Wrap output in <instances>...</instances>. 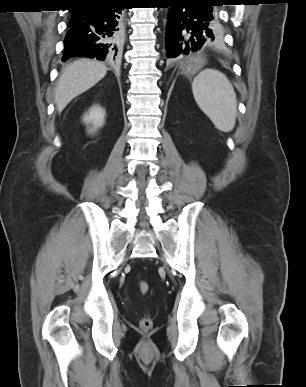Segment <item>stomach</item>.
Masks as SVG:
<instances>
[{
	"mask_svg": "<svg viewBox=\"0 0 306 387\" xmlns=\"http://www.w3.org/2000/svg\"><path fill=\"white\" fill-rule=\"evenodd\" d=\"M199 64H200V62L195 61L193 64L187 65L186 67L183 68V73L186 76L190 77L196 71Z\"/></svg>",
	"mask_w": 306,
	"mask_h": 387,
	"instance_id": "stomach-1",
	"label": "stomach"
}]
</instances>
